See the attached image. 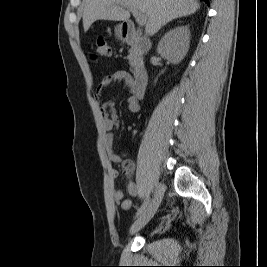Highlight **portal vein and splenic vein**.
I'll return each mask as SVG.
<instances>
[{
    "mask_svg": "<svg viewBox=\"0 0 267 267\" xmlns=\"http://www.w3.org/2000/svg\"><path fill=\"white\" fill-rule=\"evenodd\" d=\"M121 6L130 10V12L133 14V16L135 17L136 21L140 26H143L146 23V16L143 13H141L138 9L128 7L126 4H121Z\"/></svg>",
    "mask_w": 267,
    "mask_h": 267,
    "instance_id": "obj_1",
    "label": "portal vein and splenic vein"
}]
</instances>
